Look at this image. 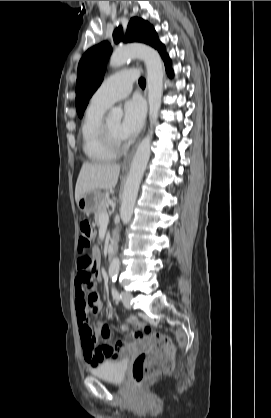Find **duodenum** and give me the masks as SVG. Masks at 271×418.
<instances>
[{
	"instance_id": "1",
	"label": "duodenum",
	"mask_w": 271,
	"mask_h": 418,
	"mask_svg": "<svg viewBox=\"0 0 271 418\" xmlns=\"http://www.w3.org/2000/svg\"><path fill=\"white\" fill-rule=\"evenodd\" d=\"M117 236L113 235L109 248H108V253H109V257L112 258L115 255L116 249H117Z\"/></svg>"
}]
</instances>
